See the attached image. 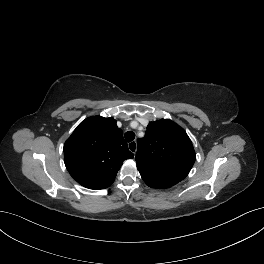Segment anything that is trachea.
<instances>
[{"label":"trachea","mask_w":264,"mask_h":264,"mask_svg":"<svg viewBox=\"0 0 264 264\" xmlns=\"http://www.w3.org/2000/svg\"><path fill=\"white\" fill-rule=\"evenodd\" d=\"M134 138H135V133H134V132H132V131H127V132L125 133V140H126L127 142H131L132 140H134Z\"/></svg>","instance_id":"1"}]
</instances>
